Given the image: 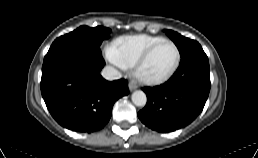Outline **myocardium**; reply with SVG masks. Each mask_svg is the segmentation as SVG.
Masks as SVG:
<instances>
[{
    "label": "myocardium",
    "mask_w": 258,
    "mask_h": 158,
    "mask_svg": "<svg viewBox=\"0 0 258 158\" xmlns=\"http://www.w3.org/2000/svg\"><path fill=\"white\" fill-rule=\"evenodd\" d=\"M164 43H170L175 47L176 50V61L174 63V65L162 76L159 77H149L146 76L142 73V68L145 65V63L147 62V60L149 59V57L152 55V53L161 45ZM181 62V52L179 47L177 46V44L170 40V39H162L161 41L157 42L156 44H154L153 46H151L141 57L140 59L137 61V63L135 64V74L138 77L139 80H141L142 82L146 83V84H150V85H158L161 83L166 82L167 80H169L173 74L177 71L179 65Z\"/></svg>",
    "instance_id": "1"
}]
</instances>
